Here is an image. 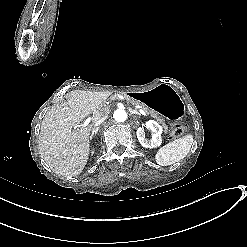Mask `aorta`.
I'll return each instance as SVG.
<instances>
[{"instance_id":"aorta-1","label":"aorta","mask_w":247,"mask_h":247,"mask_svg":"<svg viewBox=\"0 0 247 247\" xmlns=\"http://www.w3.org/2000/svg\"><path fill=\"white\" fill-rule=\"evenodd\" d=\"M113 118L117 122H124L127 119V113L124 109H117L114 111Z\"/></svg>"}]
</instances>
